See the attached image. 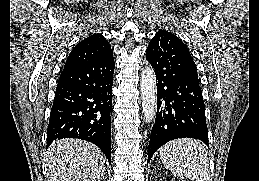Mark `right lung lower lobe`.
<instances>
[{"instance_id": "1", "label": "right lung lower lobe", "mask_w": 259, "mask_h": 181, "mask_svg": "<svg viewBox=\"0 0 259 181\" xmlns=\"http://www.w3.org/2000/svg\"><path fill=\"white\" fill-rule=\"evenodd\" d=\"M113 52L62 70L47 129L54 140L78 138L98 146L111 161Z\"/></svg>"}]
</instances>
